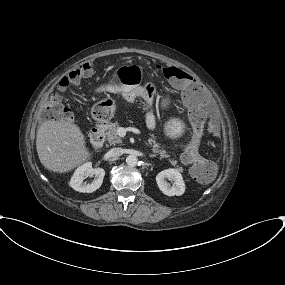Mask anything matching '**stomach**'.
Returning a JSON list of instances; mask_svg holds the SVG:
<instances>
[{
  "label": "stomach",
  "mask_w": 285,
  "mask_h": 285,
  "mask_svg": "<svg viewBox=\"0 0 285 285\" xmlns=\"http://www.w3.org/2000/svg\"><path fill=\"white\" fill-rule=\"evenodd\" d=\"M115 111V100L108 97L99 101L92 107L91 115L96 122L104 124L114 117ZM183 131V124L176 119L169 121L165 127L167 136L172 138L181 136Z\"/></svg>",
  "instance_id": "obj_1"
}]
</instances>
